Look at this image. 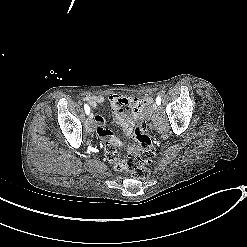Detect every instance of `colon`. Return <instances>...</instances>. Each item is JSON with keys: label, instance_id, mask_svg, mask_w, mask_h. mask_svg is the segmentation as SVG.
Returning <instances> with one entry per match:
<instances>
[{"label": "colon", "instance_id": "1", "mask_svg": "<svg viewBox=\"0 0 247 247\" xmlns=\"http://www.w3.org/2000/svg\"><path fill=\"white\" fill-rule=\"evenodd\" d=\"M135 140L136 142L127 148L125 171L135 173L140 180H146L150 176V170L147 166L150 160L156 157L157 148L142 117L137 122Z\"/></svg>", "mask_w": 247, "mask_h": 247}]
</instances>
